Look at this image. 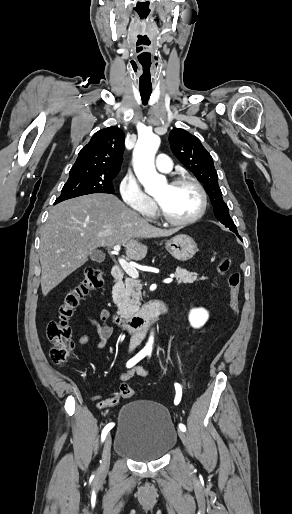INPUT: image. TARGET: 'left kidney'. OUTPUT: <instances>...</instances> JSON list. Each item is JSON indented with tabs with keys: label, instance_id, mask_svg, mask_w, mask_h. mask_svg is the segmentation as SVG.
I'll list each match as a JSON object with an SVG mask.
<instances>
[{
	"label": "left kidney",
	"instance_id": "left-kidney-1",
	"mask_svg": "<svg viewBox=\"0 0 292 514\" xmlns=\"http://www.w3.org/2000/svg\"><path fill=\"white\" fill-rule=\"evenodd\" d=\"M208 318L209 314L204 308H193V310H190L189 322L193 328H201Z\"/></svg>",
	"mask_w": 292,
	"mask_h": 514
}]
</instances>
